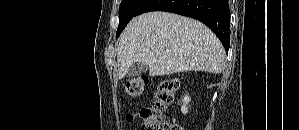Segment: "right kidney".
Instances as JSON below:
<instances>
[{
    "mask_svg": "<svg viewBox=\"0 0 299 130\" xmlns=\"http://www.w3.org/2000/svg\"><path fill=\"white\" fill-rule=\"evenodd\" d=\"M190 97L188 95L184 96L183 98V105L181 107V111L183 114H186L188 112L187 104L190 102Z\"/></svg>",
    "mask_w": 299,
    "mask_h": 130,
    "instance_id": "right-kidney-1",
    "label": "right kidney"
}]
</instances>
